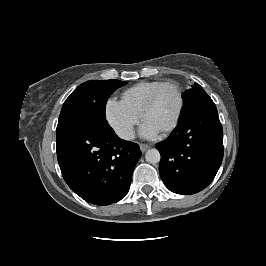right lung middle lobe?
Masks as SVG:
<instances>
[{
    "mask_svg": "<svg viewBox=\"0 0 266 266\" xmlns=\"http://www.w3.org/2000/svg\"><path fill=\"white\" fill-rule=\"evenodd\" d=\"M125 84L120 80H91L79 85L62 106L56 128L57 144L92 123L106 122V102Z\"/></svg>",
    "mask_w": 266,
    "mask_h": 266,
    "instance_id": "dd1d6c3e",
    "label": "right lung middle lobe"
}]
</instances>
